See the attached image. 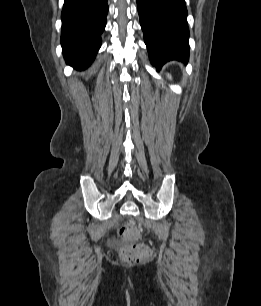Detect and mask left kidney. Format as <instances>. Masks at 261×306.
Returning <instances> with one entry per match:
<instances>
[{
    "label": "left kidney",
    "mask_w": 261,
    "mask_h": 306,
    "mask_svg": "<svg viewBox=\"0 0 261 306\" xmlns=\"http://www.w3.org/2000/svg\"><path fill=\"white\" fill-rule=\"evenodd\" d=\"M167 77H168L169 79H171V76H170L169 74L167 75Z\"/></svg>",
    "instance_id": "1"
}]
</instances>
